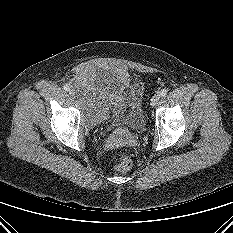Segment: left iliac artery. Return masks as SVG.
Here are the masks:
<instances>
[{
  "label": "left iliac artery",
  "mask_w": 233,
  "mask_h": 233,
  "mask_svg": "<svg viewBox=\"0 0 233 233\" xmlns=\"http://www.w3.org/2000/svg\"><path fill=\"white\" fill-rule=\"evenodd\" d=\"M167 94V90L166 89H162L160 92H159V95L160 96H166Z\"/></svg>",
  "instance_id": "44dca946"
}]
</instances>
